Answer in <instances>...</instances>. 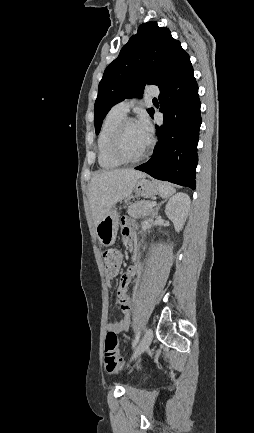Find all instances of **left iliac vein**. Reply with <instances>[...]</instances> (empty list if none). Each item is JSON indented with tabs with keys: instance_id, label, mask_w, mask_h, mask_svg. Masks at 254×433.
Wrapping results in <instances>:
<instances>
[{
	"instance_id": "1",
	"label": "left iliac vein",
	"mask_w": 254,
	"mask_h": 433,
	"mask_svg": "<svg viewBox=\"0 0 254 433\" xmlns=\"http://www.w3.org/2000/svg\"><path fill=\"white\" fill-rule=\"evenodd\" d=\"M153 339V330L151 328L146 329L142 339L140 340L139 344L137 345L132 358L134 359L144 353L150 346Z\"/></svg>"
}]
</instances>
